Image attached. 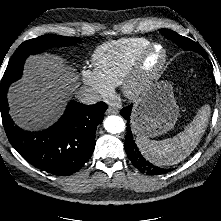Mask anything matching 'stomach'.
Listing matches in <instances>:
<instances>
[{
  "label": "stomach",
  "instance_id": "stomach-1",
  "mask_svg": "<svg viewBox=\"0 0 221 221\" xmlns=\"http://www.w3.org/2000/svg\"><path fill=\"white\" fill-rule=\"evenodd\" d=\"M178 116L173 87L161 80L150 84L135 101L131 125L137 136L153 138L174 128Z\"/></svg>",
  "mask_w": 221,
  "mask_h": 221
}]
</instances>
